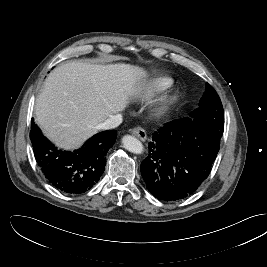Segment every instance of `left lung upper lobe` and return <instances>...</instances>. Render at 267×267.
Returning <instances> with one entry per match:
<instances>
[{
  "label": "left lung upper lobe",
  "mask_w": 267,
  "mask_h": 267,
  "mask_svg": "<svg viewBox=\"0 0 267 267\" xmlns=\"http://www.w3.org/2000/svg\"><path fill=\"white\" fill-rule=\"evenodd\" d=\"M223 114V106L218 94L210 84L206 83L199 108L192 111L191 116L208 120L221 129L224 128Z\"/></svg>",
  "instance_id": "obj_1"
}]
</instances>
